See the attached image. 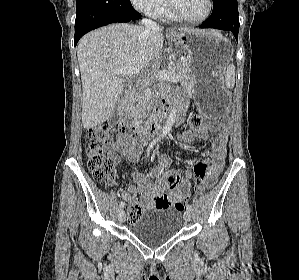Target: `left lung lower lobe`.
Masks as SVG:
<instances>
[{
    "mask_svg": "<svg viewBox=\"0 0 299 280\" xmlns=\"http://www.w3.org/2000/svg\"><path fill=\"white\" fill-rule=\"evenodd\" d=\"M199 27L231 31L238 42L239 18L237 0H213L211 16Z\"/></svg>",
    "mask_w": 299,
    "mask_h": 280,
    "instance_id": "obj_1",
    "label": "left lung lower lobe"
}]
</instances>
